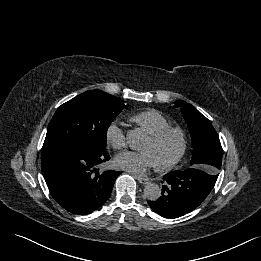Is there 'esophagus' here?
I'll list each match as a JSON object with an SVG mask.
<instances>
[{
	"mask_svg": "<svg viewBox=\"0 0 261 261\" xmlns=\"http://www.w3.org/2000/svg\"><path fill=\"white\" fill-rule=\"evenodd\" d=\"M139 183L145 185L149 183V179L145 177L135 176Z\"/></svg>",
	"mask_w": 261,
	"mask_h": 261,
	"instance_id": "esophagus-1",
	"label": "esophagus"
}]
</instances>
